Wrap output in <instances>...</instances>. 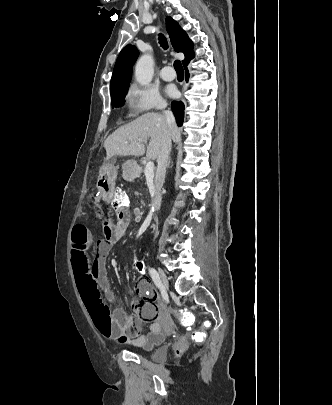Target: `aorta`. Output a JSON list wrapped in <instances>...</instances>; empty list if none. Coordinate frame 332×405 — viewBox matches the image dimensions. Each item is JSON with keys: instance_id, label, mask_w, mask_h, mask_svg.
Returning <instances> with one entry per match:
<instances>
[{"instance_id": "obj_1", "label": "aorta", "mask_w": 332, "mask_h": 405, "mask_svg": "<svg viewBox=\"0 0 332 405\" xmlns=\"http://www.w3.org/2000/svg\"><path fill=\"white\" fill-rule=\"evenodd\" d=\"M154 74V60L151 55H142L135 65V79L142 85L147 86L151 83Z\"/></svg>"}]
</instances>
